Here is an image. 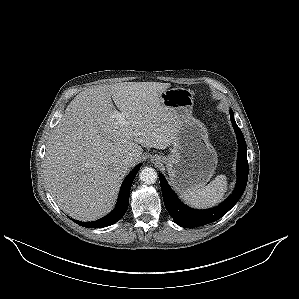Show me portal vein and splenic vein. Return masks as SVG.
I'll use <instances>...</instances> for the list:
<instances>
[{
	"mask_svg": "<svg viewBox=\"0 0 299 299\" xmlns=\"http://www.w3.org/2000/svg\"><path fill=\"white\" fill-rule=\"evenodd\" d=\"M115 116L119 119V121H120L122 124H125V119H124L122 113L116 111V112H115Z\"/></svg>",
	"mask_w": 299,
	"mask_h": 299,
	"instance_id": "1",
	"label": "portal vein and splenic vein"
}]
</instances>
